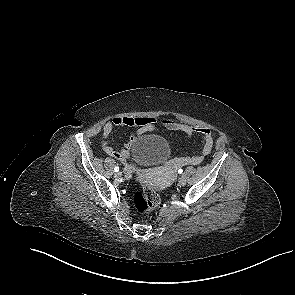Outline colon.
I'll return each instance as SVG.
<instances>
[{
	"label": "colon",
	"instance_id": "5ec220e1",
	"mask_svg": "<svg viewBox=\"0 0 295 295\" xmlns=\"http://www.w3.org/2000/svg\"><path fill=\"white\" fill-rule=\"evenodd\" d=\"M133 204L137 212L149 214L160 204V197L153 188L145 185L135 192Z\"/></svg>",
	"mask_w": 295,
	"mask_h": 295
}]
</instances>
